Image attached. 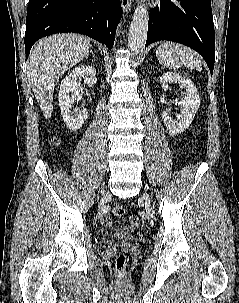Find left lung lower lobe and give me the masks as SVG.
Wrapping results in <instances>:
<instances>
[{
    "instance_id": "0a47b994",
    "label": "left lung lower lobe",
    "mask_w": 239,
    "mask_h": 303,
    "mask_svg": "<svg viewBox=\"0 0 239 303\" xmlns=\"http://www.w3.org/2000/svg\"><path fill=\"white\" fill-rule=\"evenodd\" d=\"M169 40L187 45L205 59L211 75L215 62L211 0H160L151 10L146 46Z\"/></svg>"
}]
</instances>
